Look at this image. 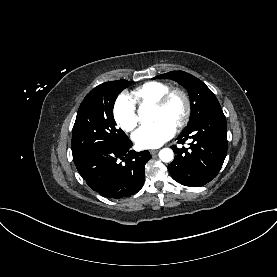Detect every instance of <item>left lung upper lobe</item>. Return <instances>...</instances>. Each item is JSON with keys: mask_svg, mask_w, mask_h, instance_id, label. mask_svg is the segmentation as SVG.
<instances>
[{"mask_svg": "<svg viewBox=\"0 0 277 277\" xmlns=\"http://www.w3.org/2000/svg\"><path fill=\"white\" fill-rule=\"evenodd\" d=\"M154 79H172L184 86L191 101V115L185 130H188L208 113L221 109L213 92L195 76L184 71H171L158 75Z\"/></svg>", "mask_w": 277, "mask_h": 277, "instance_id": "obj_1", "label": "left lung upper lobe"}]
</instances>
